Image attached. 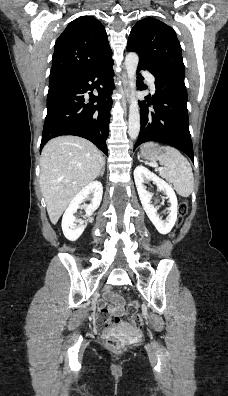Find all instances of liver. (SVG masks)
<instances>
[{"mask_svg":"<svg viewBox=\"0 0 228 396\" xmlns=\"http://www.w3.org/2000/svg\"><path fill=\"white\" fill-rule=\"evenodd\" d=\"M104 157L90 141L77 136L50 140L40 158V188L52 224L73 198L99 175Z\"/></svg>","mask_w":228,"mask_h":396,"instance_id":"6515ba94","label":"liver"}]
</instances>
